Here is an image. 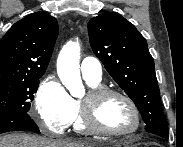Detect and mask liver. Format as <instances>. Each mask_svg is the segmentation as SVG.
Returning a JSON list of instances; mask_svg holds the SVG:
<instances>
[{
  "instance_id": "liver-1",
  "label": "liver",
  "mask_w": 183,
  "mask_h": 147,
  "mask_svg": "<svg viewBox=\"0 0 183 147\" xmlns=\"http://www.w3.org/2000/svg\"><path fill=\"white\" fill-rule=\"evenodd\" d=\"M100 142H69L23 133H12L0 137V147H96Z\"/></svg>"
}]
</instances>
